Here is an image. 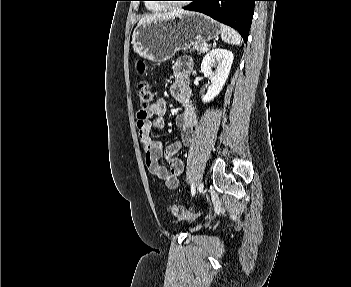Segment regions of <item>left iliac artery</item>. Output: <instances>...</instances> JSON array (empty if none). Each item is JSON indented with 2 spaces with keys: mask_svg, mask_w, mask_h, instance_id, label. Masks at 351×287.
Returning a JSON list of instances; mask_svg holds the SVG:
<instances>
[{
  "mask_svg": "<svg viewBox=\"0 0 351 287\" xmlns=\"http://www.w3.org/2000/svg\"><path fill=\"white\" fill-rule=\"evenodd\" d=\"M196 193V188H195V185L192 183V186H191V194L192 196H194Z\"/></svg>",
  "mask_w": 351,
  "mask_h": 287,
  "instance_id": "obj_1",
  "label": "left iliac artery"
}]
</instances>
